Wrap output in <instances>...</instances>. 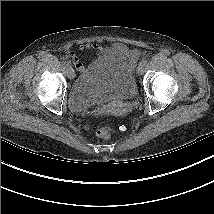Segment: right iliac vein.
<instances>
[{"label": "right iliac vein", "instance_id": "1", "mask_svg": "<svg viewBox=\"0 0 214 214\" xmlns=\"http://www.w3.org/2000/svg\"><path fill=\"white\" fill-rule=\"evenodd\" d=\"M68 76L70 79H73L75 77L74 70L70 65H68Z\"/></svg>", "mask_w": 214, "mask_h": 214}]
</instances>
